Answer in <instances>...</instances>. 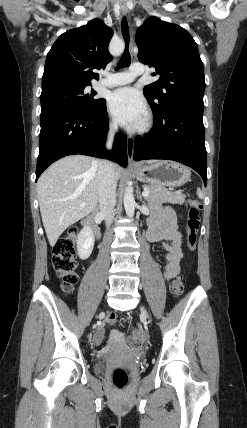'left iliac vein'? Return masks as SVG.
I'll return each instance as SVG.
<instances>
[{
	"label": "left iliac vein",
	"instance_id": "obj_1",
	"mask_svg": "<svg viewBox=\"0 0 247 428\" xmlns=\"http://www.w3.org/2000/svg\"><path fill=\"white\" fill-rule=\"evenodd\" d=\"M141 312L146 318H148V313L144 307H141Z\"/></svg>",
	"mask_w": 247,
	"mask_h": 428
}]
</instances>
